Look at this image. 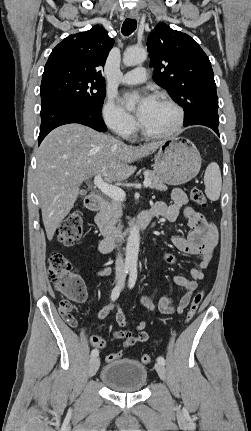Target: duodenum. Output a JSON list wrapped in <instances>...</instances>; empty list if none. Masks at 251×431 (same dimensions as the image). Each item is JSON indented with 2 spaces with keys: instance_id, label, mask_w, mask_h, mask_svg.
Here are the masks:
<instances>
[{
  "instance_id": "1",
  "label": "duodenum",
  "mask_w": 251,
  "mask_h": 431,
  "mask_svg": "<svg viewBox=\"0 0 251 431\" xmlns=\"http://www.w3.org/2000/svg\"><path fill=\"white\" fill-rule=\"evenodd\" d=\"M104 205V200L98 195H90L86 199V207L91 211H97ZM153 214L150 211L142 212L137 220L135 221L133 227L142 230L148 226ZM121 235L116 231L108 232L100 240L98 249L101 253L107 254L111 252L120 242Z\"/></svg>"
}]
</instances>
